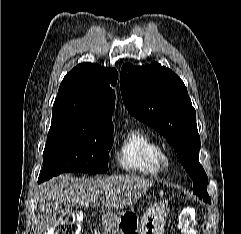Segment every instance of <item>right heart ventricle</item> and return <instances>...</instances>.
<instances>
[{"label": "right heart ventricle", "mask_w": 241, "mask_h": 234, "mask_svg": "<svg viewBox=\"0 0 241 234\" xmlns=\"http://www.w3.org/2000/svg\"><path fill=\"white\" fill-rule=\"evenodd\" d=\"M161 147L156 138L140 127H132L122 136L115 153L117 165L131 173L158 175Z\"/></svg>", "instance_id": "1"}]
</instances>
